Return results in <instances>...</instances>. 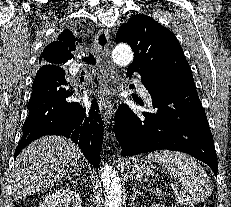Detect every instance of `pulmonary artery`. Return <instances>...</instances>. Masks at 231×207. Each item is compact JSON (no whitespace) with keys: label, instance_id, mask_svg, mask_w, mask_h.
I'll return each instance as SVG.
<instances>
[{"label":"pulmonary artery","instance_id":"obj_1","mask_svg":"<svg viewBox=\"0 0 231 207\" xmlns=\"http://www.w3.org/2000/svg\"><path fill=\"white\" fill-rule=\"evenodd\" d=\"M135 83H136V87H137L138 91L144 95H147L145 92L143 84L138 79H135Z\"/></svg>","mask_w":231,"mask_h":207}]
</instances>
